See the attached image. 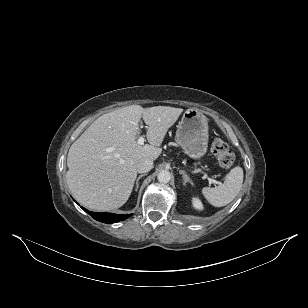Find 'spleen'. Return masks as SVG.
<instances>
[{"label": "spleen", "mask_w": 308, "mask_h": 308, "mask_svg": "<svg viewBox=\"0 0 308 308\" xmlns=\"http://www.w3.org/2000/svg\"><path fill=\"white\" fill-rule=\"evenodd\" d=\"M243 169L239 166L234 167L226 175L224 183L214 187L202 188V194L206 200L215 207H222L234 200L242 188Z\"/></svg>", "instance_id": "spleen-1"}]
</instances>
